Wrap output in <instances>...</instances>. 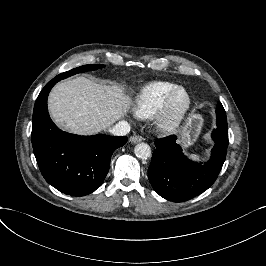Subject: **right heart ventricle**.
<instances>
[{"label": "right heart ventricle", "instance_id": "obj_1", "mask_svg": "<svg viewBox=\"0 0 266 266\" xmlns=\"http://www.w3.org/2000/svg\"><path fill=\"white\" fill-rule=\"evenodd\" d=\"M180 84L169 80H156L141 87L136 94L132 111L139 119L152 118L165 98Z\"/></svg>", "mask_w": 266, "mask_h": 266}]
</instances>
